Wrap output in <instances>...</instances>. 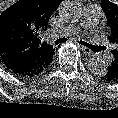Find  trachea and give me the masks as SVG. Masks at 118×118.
Returning a JSON list of instances; mask_svg holds the SVG:
<instances>
[{
    "label": "trachea",
    "mask_w": 118,
    "mask_h": 118,
    "mask_svg": "<svg viewBox=\"0 0 118 118\" xmlns=\"http://www.w3.org/2000/svg\"><path fill=\"white\" fill-rule=\"evenodd\" d=\"M67 41V38L63 37V38H59L57 40L54 41L55 45H59L63 42H66ZM80 44L86 46L87 48L91 49L92 51L94 52H97L98 50H100L101 48L100 47H97L95 45H92V44H89L87 42H84L82 40L79 41Z\"/></svg>",
    "instance_id": "trachea-1"
}]
</instances>
